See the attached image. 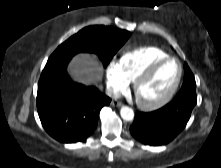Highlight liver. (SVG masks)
<instances>
[{
	"instance_id": "1",
	"label": "liver",
	"mask_w": 221,
	"mask_h": 168,
	"mask_svg": "<svg viewBox=\"0 0 221 168\" xmlns=\"http://www.w3.org/2000/svg\"><path fill=\"white\" fill-rule=\"evenodd\" d=\"M71 72L79 82L90 85L101 79L102 69L94 56L80 54L74 58Z\"/></svg>"
}]
</instances>
